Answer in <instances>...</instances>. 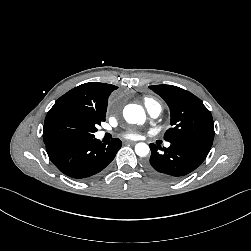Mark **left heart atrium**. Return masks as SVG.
<instances>
[{"label":"left heart atrium","mask_w":251,"mask_h":251,"mask_svg":"<svg viewBox=\"0 0 251 251\" xmlns=\"http://www.w3.org/2000/svg\"><path fill=\"white\" fill-rule=\"evenodd\" d=\"M123 136L127 139H138L140 137V132L133 128L128 131H126Z\"/></svg>","instance_id":"obj_1"}]
</instances>
